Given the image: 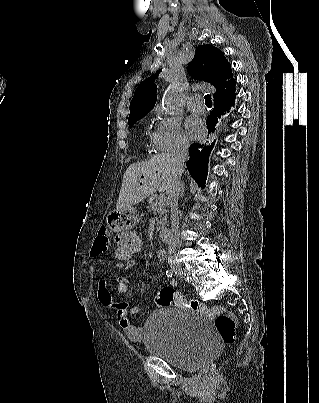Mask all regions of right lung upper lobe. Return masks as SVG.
Returning a JSON list of instances; mask_svg holds the SVG:
<instances>
[{
    "label": "right lung upper lobe",
    "instance_id": "right-lung-upper-lobe-1",
    "mask_svg": "<svg viewBox=\"0 0 319 403\" xmlns=\"http://www.w3.org/2000/svg\"><path fill=\"white\" fill-rule=\"evenodd\" d=\"M161 71L145 79L136 88L130 103L128 120L145 116L155 106L157 86L154 81ZM188 73L194 79L212 84L216 88L213 95L215 100L235 91L231 64L224 53L212 45H199L196 48L193 60L188 63Z\"/></svg>",
    "mask_w": 319,
    "mask_h": 403
}]
</instances>
